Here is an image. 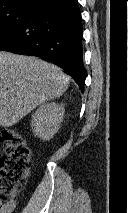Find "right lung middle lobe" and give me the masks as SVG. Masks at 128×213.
Instances as JSON below:
<instances>
[{
	"instance_id": "dd1d6c3e",
	"label": "right lung middle lobe",
	"mask_w": 128,
	"mask_h": 213,
	"mask_svg": "<svg viewBox=\"0 0 128 213\" xmlns=\"http://www.w3.org/2000/svg\"><path fill=\"white\" fill-rule=\"evenodd\" d=\"M32 8L20 6L0 7V41L14 32Z\"/></svg>"
}]
</instances>
